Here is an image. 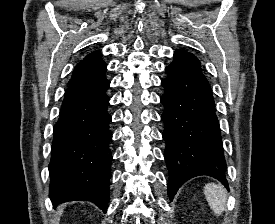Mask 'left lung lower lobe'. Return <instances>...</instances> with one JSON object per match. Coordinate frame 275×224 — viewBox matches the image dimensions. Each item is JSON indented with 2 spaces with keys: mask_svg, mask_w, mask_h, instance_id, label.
<instances>
[{
  "mask_svg": "<svg viewBox=\"0 0 275 224\" xmlns=\"http://www.w3.org/2000/svg\"><path fill=\"white\" fill-rule=\"evenodd\" d=\"M165 70L161 119L170 199L185 181L199 175L216 178L228 188L221 130L207 79L197 69Z\"/></svg>",
  "mask_w": 275,
  "mask_h": 224,
  "instance_id": "1",
  "label": "left lung lower lobe"
}]
</instances>
